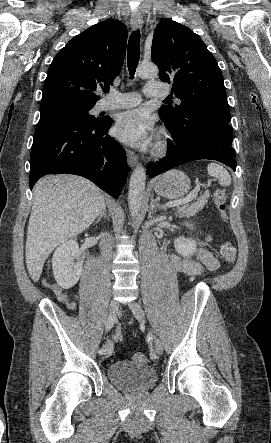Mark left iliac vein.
I'll use <instances>...</instances> for the list:
<instances>
[{"instance_id": "1", "label": "left iliac vein", "mask_w": 271, "mask_h": 443, "mask_svg": "<svg viewBox=\"0 0 271 443\" xmlns=\"http://www.w3.org/2000/svg\"><path fill=\"white\" fill-rule=\"evenodd\" d=\"M129 308L131 310V312L133 313V315L135 316V318L142 324L145 323V313L143 308L141 307V305L135 301L129 303ZM154 343H155V349L158 355H162L163 354V346L162 343L160 342V340L158 338H154Z\"/></svg>"}]
</instances>
